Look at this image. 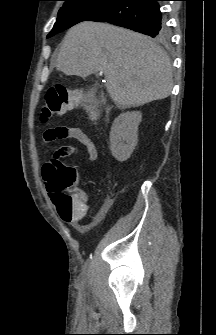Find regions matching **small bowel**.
Returning a JSON list of instances; mask_svg holds the SVG:
<instances>
[{"label":"small bowel","mask_w":216,"mask_h":335,"mask_svg":"<svg viewBox=\"0 0 216 335\" xmlns=\"http://www.w3.org/2000/svg\"><path fill=\"white\" fill-rule=\"evenodd\" d=\"M65 139H74L78 141L85 148V155L88 161L93 162L97 159L98 149L95 143L80 128L66 126L50 128L45 132L43 137V141L45 142ZM68 147L70 148V154H77L79 152L75 147ZM52 168L53 167L49 166L48 162L42 168V177L45 184L47 185L48 191H51L49 174ZM74 199L77 203H79L80 208L77 211H74L65 216L64 220L73 226L76 230L80 232H86L101 221V214L97 213L90 218L88 197L83 190L78 189Z\"/></svg>","instance_id":"obj_1"}]
</instances>
